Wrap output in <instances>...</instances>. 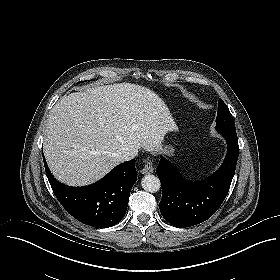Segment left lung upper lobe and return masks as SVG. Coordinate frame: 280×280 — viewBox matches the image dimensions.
Wrapping results in <instances>:
<instances>
[{"label":"left lung upper lobe","mask_w":280,"mask_h":280,"mask_svg":"<svg viewBox=\"0 0 280 280\" xmlns=\"http://www.w3.org/2000/svg\"><path fill=\"white\" fill-rule=\"evenodd\" d=\"M216 130L227 137H237L235 123L227 105L219 99L216 118Z\"/></svg>","instance_id":"1"}]
</instances>
